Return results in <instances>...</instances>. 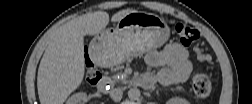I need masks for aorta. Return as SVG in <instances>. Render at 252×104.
<instances>
[{
  "label": "aorta",
  "mask_w": 252,
  "mask_h": 104,
  "mask_svg": "<svg viewBox=\"0 0 252 104\" xmlns=\"http://www.w3.org/2000/svg\"><path fill=\"white\" fill-rule=\"evenodd\" d=\"M140 96H141V92L138 88L134 87L128 90V97L130 100L132 101L139 100Z\"/></svg>",
  "instance_id": "obj_1"
}]
</instances>
